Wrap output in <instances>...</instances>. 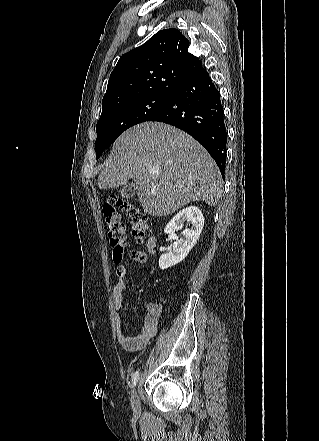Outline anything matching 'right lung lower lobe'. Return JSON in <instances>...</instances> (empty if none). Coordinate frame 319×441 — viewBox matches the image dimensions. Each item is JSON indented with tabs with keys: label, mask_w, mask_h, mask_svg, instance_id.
<instances>
[{
	"label": "right lung lower lobe",
	"mask_w": 319,
	"mask_h": 441,
	"mask_svg": "<svg viewBox=\"0 0 319 441\" xmlns=\"http://www.w3.org/2000/svg\"><path fill=\"white\" fill-rule=\"evenodd\" d=\"M148 121L164 122L190 134L205 147L224 175L227 132L223 106L205 69L185 81L168 104Z\"/></svg>",
	"instance_id": "1"
}]
</instances>
